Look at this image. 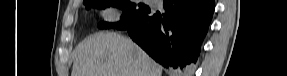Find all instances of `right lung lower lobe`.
<instances>
[{
	"mask_svg": "<svg viewBox=\"0 0 287 76\" xmlns=\"http://www.w3.org/2000/svg\"><path fill=\"white\" fill-rule=\"evenodd\" d=\"M165 12L146 15L127 29L129 36L166 68L188 73L200 54L214 12V0H163Z\"/></svg>",
	"mask_w": 287,
	"mask_h": 76,
	"instance_id": "98d812e1",
	"label": "right lung lower lobe"
}]
</instances>
